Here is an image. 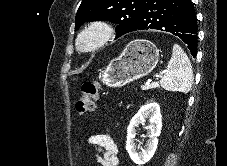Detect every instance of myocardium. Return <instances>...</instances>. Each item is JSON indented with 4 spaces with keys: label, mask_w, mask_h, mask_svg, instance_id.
I'll list each match as a JSON object with an SVG mask.
<instances>
[{
    "label": "myocardium",
    "mask_w": 227,
    "mask_h": 166,
    "mask_svg": "<svg viewBox=\"0 0 227 166\" xmlns=\"http://www.w3.org/2000/svg\"><path fill=\"white\" fill-rule=\"evenodd\" d=\"M114 36V29L104 20L87 23L77 34L75 46L85 53H93L104 47Z\"/></svg>",
    "instance_id": "f54148a6"
}]
</instances>
